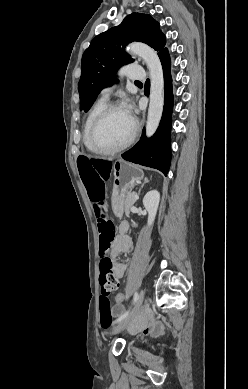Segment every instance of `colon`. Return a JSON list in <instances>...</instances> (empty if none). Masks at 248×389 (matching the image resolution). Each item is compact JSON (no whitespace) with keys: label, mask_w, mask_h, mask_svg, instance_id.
Returning <instances> with one entry per match:
<instances>
[{"label":"colon","mask_w":248,"mask_h":389,"mask_svg":"<svg viewBox=\"0 0 248 389\" xmlns=\"http://www.w3.org/2000/svg\"><path fill=\"white\" fill-rule=\"evenodd\" d=\"M76 162L80 168L83 184L98 218L99 255L101 256L99 319L101 328L108 329L113 323L109 297L119 286L118 279L113 271V262L106 256L115 237V226L107 215L104 200V185L109 180L112 162L110 157H77ZM125 299V291H116L113 302L117 307H120L122 305L121 301Z\"/></svg>","instance_id":"5ec220e1"}]
</instances>
